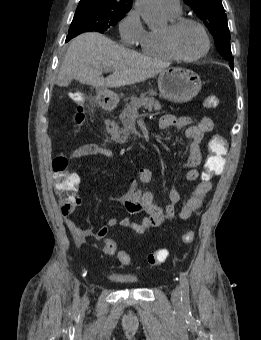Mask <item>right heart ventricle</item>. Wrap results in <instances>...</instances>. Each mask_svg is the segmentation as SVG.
<instances>
[{"mask_svg":"<svg viewBox=\"0 0 261 340\" xmlns=\"http://www.w3.org/2000/svg\"><path fill=\"white\" fill-rule=\"evenodd\" d=\"M170 20H174L179 17L178 15H172L167 13ZM141 50L148 56L158 59H173L174 57L168 52L163 40L162 31H146L142 38L138 42Z\"/></svg>","mask_w":261,"mask_h":340,"instance_id":"e07e8e85","label":"right heart ventricle"}]
</instances>
